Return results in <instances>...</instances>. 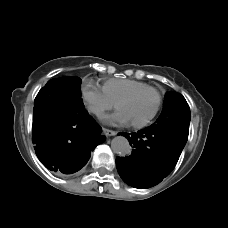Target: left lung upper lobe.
Wrapping results in <instances>:
<instances>
[{"label":"left lung upper lobe","mask_w":228,"mask_h":228,"mask_svg":"<svg viewBox=\"0 0 228 228\" xmlns=\"http://www.w3.org/2000/svg\"><path fill=\"white\" fill-rule=\"evenodd\" d=\"M190 118V108L185 98L177 92H169L165 95L163 111L155 123L180 131L188 138Z\"/></svg>","instance_id":"left-lung-upper-lobe-1"}]
</instances>
